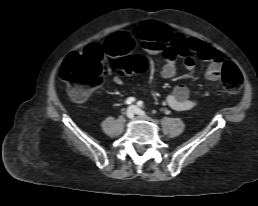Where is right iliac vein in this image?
Returning <instances> with one entry per match:
<instances>
[{"mask_svg": "<svg viewBox=\"0 0 258 206\" xmlns=\"http://www.w3.org/2000/svg\"><path fill=\"white\" fill-rule=\"evenodd\" d=\"M134 114H135L134 107H133V106H130V107L126 110V116H127L129 119H133Z\"/></svg>", "mask_w": 258, "mask_h": 206, "instance_id": "obj_1", "label": "right iliac vein"}]
</instances>
